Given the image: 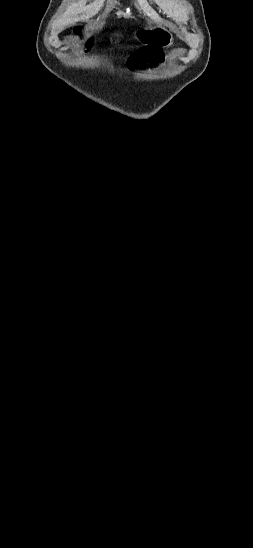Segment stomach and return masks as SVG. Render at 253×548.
Segmentation results:
<instances>
[{
	"label": "stomach",
	"instance_id": "0dacf381",
	"mask_svg": "<svg viewBox=\"0 0 253 548\" xmlns=\"http://www.w3.org/2000/svg\"><path fill=\"white\" fill-rule=\"evenodd\" d=\"M140 38L146 42H161L163 45H167L172 40L170 33L162 28L140 32ZM112 41L118 43L119 38L114 36Z\"/></svg>",
	"mask_w": 253,
	"mask_h": 548
}]
</instances>
